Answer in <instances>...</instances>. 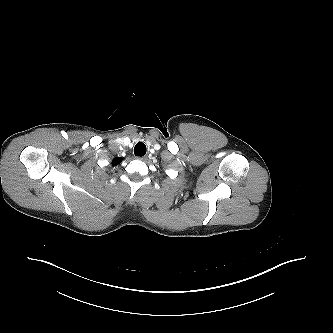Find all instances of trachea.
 <instances>
[{
  "label": "trachea",
  "instance_id": "trachea-1",
  "mask_svg": "<svg viewBox=\"0 0 333 333\" xmlns=\"http://www.w3.org/2000/svg\"><path fill=\"white\" fill-rule=\"evenodd\" d=\"M146 145L144 144V143H142V142H139V143H137L136 145H135V147H134V154L136 155V156H140V157H142V156H144L145 155V153H146Z\"/></svg>",
  "mask_w": 333,
  "mask_h": 333
}]
</instances>
